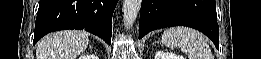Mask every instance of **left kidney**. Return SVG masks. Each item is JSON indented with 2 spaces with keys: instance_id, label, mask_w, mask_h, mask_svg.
<instances>
[{
  "instance_id": "5707ae66",
  "label": "left kidney",
  "mask_w": 261,
  "mask_h": 59,
  "mask_svg": "<svg viewBox=\"0 0 261 59\" xmlns=\"http://www.w3.org/2000/svg\"><path fill=\"white\" fill-rule=\"evenodd\" d=\"M155 59H184V57L172 52L158 51L155 54Z\"/></svg>"
}]
</instances>
